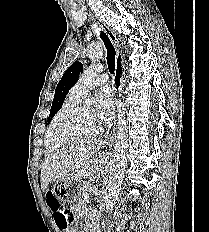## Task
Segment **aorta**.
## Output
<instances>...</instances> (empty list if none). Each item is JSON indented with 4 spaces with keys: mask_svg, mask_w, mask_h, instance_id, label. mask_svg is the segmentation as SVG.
Masks as SVG:
<instances>
[{
    "mask_svg": "<svg viewBox=\"0 0 209 232\" xmlns=\"http://www.w3.org/2000/svg\"><path fill=\"white\" fill-rule=\"evenodd\" d=\"M92 62H98L103 56V48L99 42H92L87 50ZM88 104L90 102L88 101ZM127 122L125 119V105L119 101L117 104V123L114 145V155L110 167V177L105 194L106 212L110 213L116 205L117 198L123 183L126 168V155L128 148Z\"/></svg>",
    "mask_w": 209,
    "mask_h": 232,
    "instance_id": "obj_1",
    "label": "aorta"
}]
</instances>
